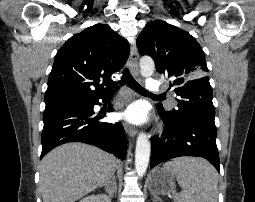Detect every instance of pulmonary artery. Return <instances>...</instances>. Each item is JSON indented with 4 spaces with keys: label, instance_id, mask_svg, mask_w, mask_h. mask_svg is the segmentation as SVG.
Instances as JSON below:
<instances>
[{
    "label": "pulmonary artery",
    "instance_id": "e3ab8cb5",
    "mask_svg": "<svg viewBox=\"0 0 255 202\" xmlns=\"http://www.w3.org/2000/svg\"><path fill=\"white\" fill-rule=\"evenodd\" d=\"M160 84L161 82L159 80L148 78L146 80V89L149 92H158L160 91Z\"/></svg>",
    "mask_w": 255,
    "mask_h": 202
}]
</instances>
